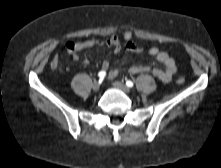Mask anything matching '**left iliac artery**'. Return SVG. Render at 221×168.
<instances>
[{
    "label": "left iliac artery",
    "instance_id": "obj_1",
    "mask_svg": "<svg viewBox=\"0 0 221 168\" xmlns=\"http://www.w3.org/2000/svg\"><path fill=\"white\" fill-rule=\"evenodd\" d=\"M126 85H127L128 87H132V86L134 85V83H133L131 80H127V81H126Z\"/></svg>",
    "mask_w": 221,
    "mask_h": 168
}]
</instances>
